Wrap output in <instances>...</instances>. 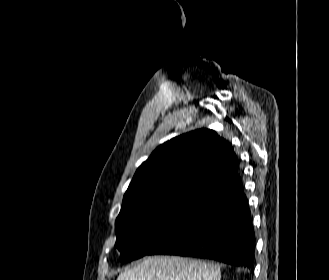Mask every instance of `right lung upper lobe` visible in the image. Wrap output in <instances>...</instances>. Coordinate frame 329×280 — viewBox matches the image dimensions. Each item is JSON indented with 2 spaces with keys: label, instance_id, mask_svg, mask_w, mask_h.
I'll list each match as a JSON object with an SVG mask.
<instances>
[{
  "label": "right lung upper lobe",
  "instance_id": "1",
  "mask_svg": "<svg viewBox=\"0 0 329 280\" xmlns=\"http://www.w3.org/2000/svg\"><path fill=\"white\" fill-rule=\"evenodd\" d=\"M232 145L210 129L177 136L160 145L137 169L123 204L139 206L156 198H204L238 173Z\"/></svg>",
  "mask_w": 329,
  "mask_h": 280
}]
</instances>
